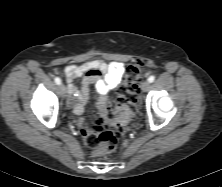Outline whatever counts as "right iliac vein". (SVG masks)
I'll list each match as a JSON object with an SVG mask.
<instances>
[{"label": "right iliac vein", "instance_id": "right-iliac-vein-1", "mask_svg": "<svg viewBox=\"0 0 222 187\" xmlns=\"http://www.w3.org/2000/svg\"><path fill=\"white\" fill-rule=\"evenodd\" d=\"M59 91H60L62 98H65L67 96V89L64 84L59 85Z\"/></svg>", "mask_w": 222, "mask_h": 187}]
</instances>
